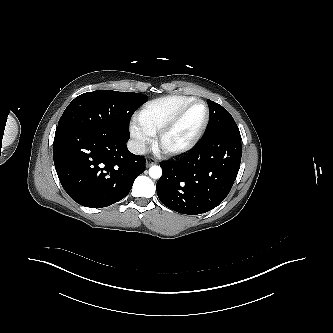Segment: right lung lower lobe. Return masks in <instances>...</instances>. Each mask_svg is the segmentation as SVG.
Instances as JSON below:
<instances>
[{
  "label": "right lung lower lobe",
  "mask_w": 333,
  "mask_h": 333,
  "mask_svg": "<svg viewBox=\"0 0 333 333\" xmlns=\"http://www.w3.org/2000/svg\"><path fill=\"white\" fill-rule=\"evenodd\" d=\"M128 140L56 129L53 159L66 193L90 208L107 207L127 196L145 170L144 156L132 154Z\"/></svg>",
  "instance_id": "98d812e1"
}]
</instances>
